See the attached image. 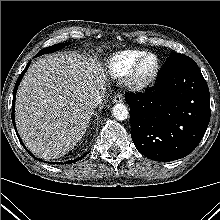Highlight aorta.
Here are the masks:
<instances>
[{
  "instance_id": "obj_1",
  "label": "aorta",
  "mask_w": 220,
  "mask_h": 220,
  "mask_svg": "<svg viewBox=\"0 0 220 220\" xmlns=\"http://www.w3.org/2000/svg\"><path fill=\"white\" fill-rule=\"evenodd\" d=\"M112 113L113 116L119 121H123L129 116L128 108L123 103H117L116 105H114Z\"/></svg>"
}]
</instances>
